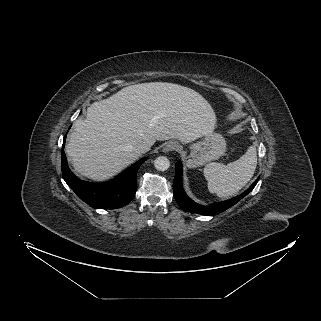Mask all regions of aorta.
<instances>
[{
  "instance_id": "762f6f07",
  "label": "aorta",
  "mask_w": 321,
  "mask_h": 321,
  "mask_svg": "<svg viewBox=\"0 0 321 321\" xmlns=\"http://www.w3.org/2000/svg\"><path fill=\"white\" fill-rule=\"evenodd\" d=\"M154 166L159 171H165L170 167V161L165 156H159L154 160Z\"/></svg>"
}]
</instances>
